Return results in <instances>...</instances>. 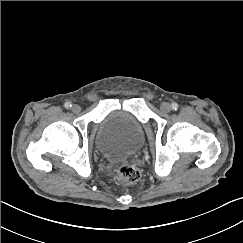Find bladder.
Instances as JSON below:
<instances>
[{"label":"bladder","instance_id":"bladder-1","mask_svg":"<svg viewBox=\"0 0 243 243\" xmlns=\"http://www.w3.org/2000/svg\"><path fill=\"white\" fill-rule=\"evenodd\" d=\"M145 143L142 124L131 113L113 110L99 123L95 146L108 160L121 161L138 152Z\"/></svg>","mask_w":243,"mask_h":243}]
</instances>
